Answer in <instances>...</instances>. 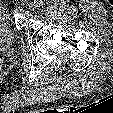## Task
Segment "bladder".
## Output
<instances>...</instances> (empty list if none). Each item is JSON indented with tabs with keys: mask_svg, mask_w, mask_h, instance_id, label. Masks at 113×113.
<instances>
[{
	"mask_svg": "<svg viewBox=\"0 0 113 113\" xmlns=\"http://www.w3.org/2000/svg\"><path fill=\"white\" fill-rule=\"evenodd\" d=\"M13 32L7 20L6 12L0 4V51L13 42Z\"/></svg>",
	"mask_w": 113,
	"mask_h": 113,
	"instance_id": "obj_1",
	"label": "bladder"
}]
</instances>
